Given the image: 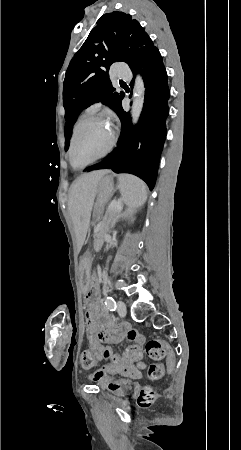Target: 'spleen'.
<instances>
[{
	"label": "spleen",
	"instance_id": "spleen-1",
	"mask_svg": "<svg viewBox=\"0 0 241 450\" xmlns=\"http://www.w3.org/2000/svg\"><path fill=\"white\" fill-rule=\"evenodd\" d=\"M118 182L124 204L128 206L130 214H135L137 208L143 206L147 200L145 182L130 174H121Z\"/></svg>",
	"mask_w": 241,
	"mask_h": 450
}]
</instances>
